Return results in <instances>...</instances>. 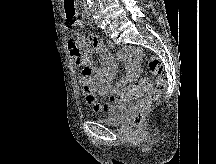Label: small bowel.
<instances>
[{
    "mask_svg": "<svg viewBox=\"0 0 216 164\" xmlns=\"http://www.w3.org/2000/svg\"><path fill=\"white\" fill-rule=\"evenodd\" d=\"M76 25L83 26V22L76 21ZM68 49L74 63L82 69L79 80L86 103L95 112L113 116L118 108L116 96L120 89L140 74L139 52L132 47L121 50L119 59L127 65V73L117 77L116 60L97 36H91L88 44L84 35L76 34L69 41ZM92 49L101 59L100 66H93ZM99 96H108L109 100L101 101Z\"/></svg>",
    "mask_w": 216,
    "mask_h": 164,
    "instance_id": "obj_1",
    "label": "small bowel"
}]
</instances>
